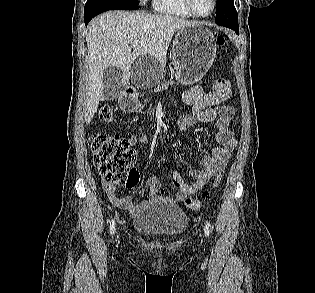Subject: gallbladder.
Segmentation results:
<instances>
[{
    "instance_id": "1",
    "label": "gallbladder",
    "mask_w": 315,
    "mask_h": 293,
    "mask_svg": "<svg viewBox=\"0 0 315 293\" xmlns=\"http://www.w3.org/2000/svg\"><path fill=\"white\" fill-rule=\"evenodd\" d=\"M123 78L124 73L119 67L109 66L104 70L103 81L105 86L103 94L105 100L110 101L119 96Z\"/></svg>"
}]
</instances>
